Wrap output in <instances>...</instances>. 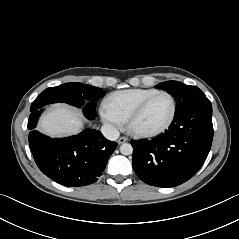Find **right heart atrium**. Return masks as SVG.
I'll list each match as a JSON object with an SVG mask.
<instances>
[{"label":"right heart atrium","instance_id":"right-heart-atrium-1","mask_svg":"<svg viewBox=\"0 0 239 239\" xmlns=\"http://www.w3.org/2000/svg\"><path fill=\"white\" fill-rule=\"evenodd\" d=\"M100 113L102 120L111 130H118L122 127L124 121L109 111L105 106L101 108Z\"/></svg>","mask_w":239,"mask_h":239}]
</instances>
